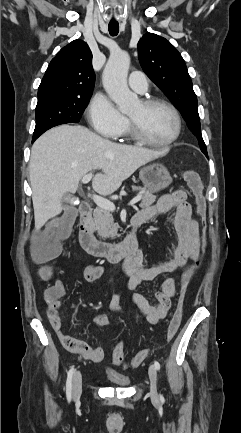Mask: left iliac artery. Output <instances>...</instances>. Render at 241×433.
<instances>
[{"mask_svg":"<svg viewBox=\"0 0 241 433\" xmlns=\"http://www.w3.org/2000/svg\"><path fill=\"white\" fill-rule=\"evenodd\" d=\"M154 367L159 370L160 369V364L158 361H154ZM161 398H163V396H161Z\"/></svg>","mask_w":241,"mask_h":433,"instance_id":"left-iliac-artery-1","label":"left iliac artery"}]
</instances>
